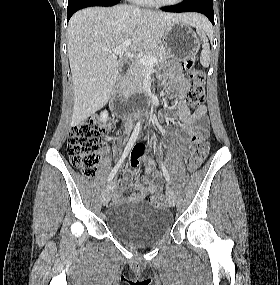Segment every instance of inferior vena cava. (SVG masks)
<instances>
[{"label":"inferior vena cava","instance_id":"1","mask_svg":"<svg viewBox=\"0 0 280 285\" xmlns=\"http://www.w3.org/2000/svg\"><path fill=\"white\" fill-rule=\"evenodd\" d=\"M131 122V119H127V123H130Z\"/></svg>","mask_w":280,"mask_h":285}]
</instances>
